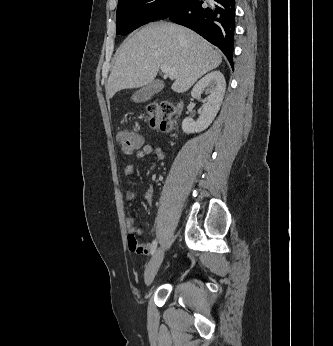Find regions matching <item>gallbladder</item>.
I'll return each mask as SVG.
<instances>
[{
	"instance_id": "obj_1",
	"label": "gallbladder",
	"mask_w": 333,
	"mask_h": 346,
	"mask_svg": "<svg viewBox=\"0 0 333 346\" xmlns=\"http://www.w3.org/2000/svg\"><path fill=\"white\" fill-rule=\"evenodd\" d=\"M164 85L160 80H154L148 85L138 89L133 95L132 100L139 103L150 99L154 94L160 92Z\"/></svg>"
}]
</instances>
